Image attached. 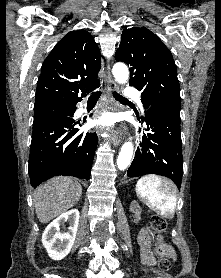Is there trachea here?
<instances>
[{
    "label": "trachea",
    "mask_w": 221,
    "mask_h": 278,
    "mask_svg": "<svg viewBox=\"0 0 221 278\" xmlns=\"http://www.w3.org/2000/svg\"><path fill=\"white\" fill-rule=\"evenodd\" d=\"M113 96L119 100V101H127L126 98L120 96L118 93H116L115 91L112 92ZM101 95V92L100 91H96V92H93L90 97H89V100H98L99 97Z\"/></svg>",
    "instance_id": "3493384b"
}]
</instances>
